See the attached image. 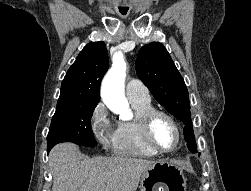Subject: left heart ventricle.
I'll list each match as a JSON object with an SVG mask.
<instances>
[{
	"label": "left heart ventricle",
	"mask_w": 251,
	"mask_h": 191,
	"mask_svg": "<svg viewBox=\"0 0 251 191\" xmlns=\"http://www.w3.org/2000/svg\"><path fill=\"white\" fill-rule=\"evenodd\" d=\"M152 138L156 146L165 152L174 150L179 142V135L174 125L164 116H158L154 120Z\"/></svg>",
	"instance_id": "left-heart-ventricle-1"
}]
</instances>
